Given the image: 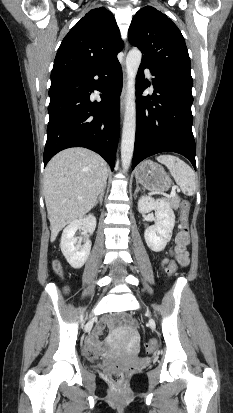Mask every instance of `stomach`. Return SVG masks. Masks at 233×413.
<instances>
[{"label": "stomach", "mask_w": 233, "mask_h": 413, "mask_svg": "<svg viewBox=\"0 0 233 413\" xmlns=\"http://www.w3.org/2000/svg\"><path fill=\"white\" fill-rule=\"evenodd\" d=\"M135 178L144 188L156 192H165L172 184L164 168L151 160L142 162L136 168Z\"/></svg>", "instance_id": "1"}]
</instances>
